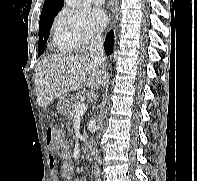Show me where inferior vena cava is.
Listing matches in <instances>:
<instances>
[{"label": "inferior vena cava", "instance_id": "1", "mask_svg": "<svg viewBox=\"0 0 197 181\" xmlns=\"http://www.w3.org/2000/svg\"><path fill=\"white\" fill-rule=\"evenodd\" d=\"M89 56L93 63L102 66L105 59L104 49H103V38L99 32H93L91 34Z\"/></svg>", "mask_w": 197, "mask_h": 181}]
</instances>
